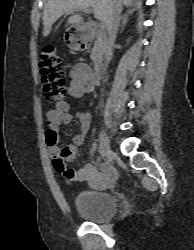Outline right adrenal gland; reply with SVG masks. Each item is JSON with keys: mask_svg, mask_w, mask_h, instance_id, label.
Segmentation results:
<instances>
[{"mask_svg": "<svg viewBox=\"0 0 194 250\" xmlns=\"http://www.w3.org/2000/svg\"><path fill=\"white\" fill-rule=\"evenodd\" d=\"M129 13H131V11ZM123 24H125V21H123Z\"/></svg>", "mask_w": 194, "mask_h": 250, "instance_id": "obj_1", "label": "right adrenal gland"}]
</instances>
